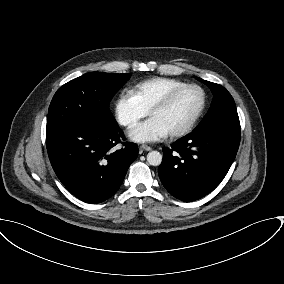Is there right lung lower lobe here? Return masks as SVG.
Listing matches in <instances>:
<instances>
[{"mask_svg":"<svg viewBox=\"0 0 284 284\" xmlns=\"http://www.w3.org/2000/svg\"><path fill=\"white\" fill-rule=\"evenodd\" d=\"M124 138L119 126H68L46 135L51 165L63 185L78 199L100 203L113 196L138 155L134 143L114 151Z\"/></svg>","mask_w":284,"mask_h":284,"instance_id":"1","label":"right lung lower lobe"}]
</instances>
